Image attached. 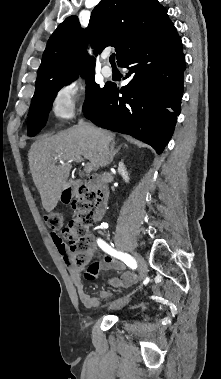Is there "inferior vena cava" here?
I'll list each match as a JSON object with an SVG mask.
<instances>
[{
  "label": "inferior vena cava",
  "mask_w": 221,
  "mask_h": 379,
  "mask_svg": "<svg viewBox=\"0 0 221 379\" xmlns=\"http://www.w3.org/2000/svg\"><path fill=\"white\" fill-rule=\"evenodd\" d=\"M78 126L80 128L86 129L88 132L92 133L93 135L101 139V148L99 152V155H100L99 165L101 167H105L108 164L110 151H109L107 142L103 138L102 132L92 127L91 125L87 124L86 122H84L83 119L79 121Z\"/></svg>",
  "instance_id": "602c4592"
}]
</instances>
